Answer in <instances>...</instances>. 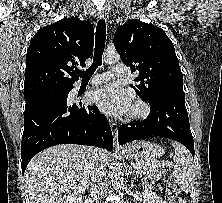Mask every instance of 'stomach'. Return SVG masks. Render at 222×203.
<instances>
[{
	"label": "stomach",
	"mask_w": 222,
	"mask_h": 203,
	"mask_svg": "<svg viewBox=\"0 0 222 203\" xmlns=\"http://www.w3.org/2000/svg\"><path fill=\"white\" fill-rule=\"evenodd\" d=\"M164 154V149L152 142L140 141L130 144L125 148V156L137 161L155 160Z\"/></svg>",
	"instance_id": "obj_1"
}]
</instances>
